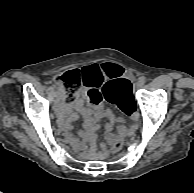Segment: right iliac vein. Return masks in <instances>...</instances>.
I'll list each match as a JSON object with an SVG mask.
<instances>
[{"instance_id": "1", "label": "right iliac vein", "mask_w": 194, "mask_h": 193, "mask_svg": "<svg viewBox=\"0 0 194 193\" xmlns=\"http://www.w3.org/2000/svg\"><path fill=\"white\" fill-rule=\"evenodd\" d=\"M58 99L59 100H62V98H63V89L62 88H60L59 90H58ZM57 115L59 116L60 115V113L57 111Z\"/></svg>"}]
</instances>
